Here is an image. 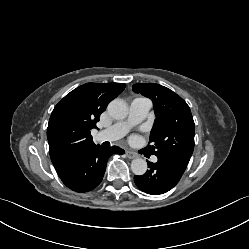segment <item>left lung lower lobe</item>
I'll list each match as a JSON object with an SVG mask.
<instances>
[{"label": "left lung lower lobe", "instance_id": "left-lung-lower-lobe-1", "mask_svg": "<svg viewBox=\"0 0 249 249\" xmlns=\"http://www.w3.org/2000/svg\"><path fill=\"white\" fill-rule=\"evenodd\" d=\"M158 161L150 164L144 175L134 176L137 187L145 193L159 195L172 189L180 180L188 163L157 155Z\"/></svg>", "mask_w": 249, "mask_h": 249}]
</instances>
